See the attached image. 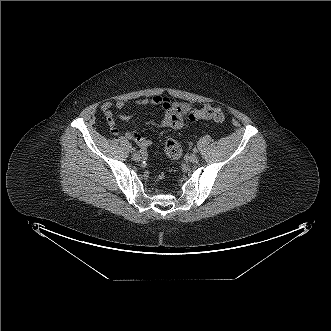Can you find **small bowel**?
Segmentation results:
<instances>
[{
	"label": "small bowel",
	"mask_w": 331,
	"mask_h": 331,
	"mask_svg": "<svg viewBox=\"0 0 331 331\" xmlns=\"http://www.w3.org/2000/svg\"><path fill=\"white\" fill-rule=\"evenodd\" d=\"M140 106H161L163 109V117L159 123L153 121H146V126L154 127L156 132H161L167 129L182 130L187 128L192 122L189 121L187 116L196 108L188 102H173L169 98L164 96H152L150 98H144L137 101ZM126 106L124 101L105 102L101 105V111L106 117L107 123L110 127L112 134L117 135L119 133L116 127V121L128 120L131 118V114L127 113H115L113 109L123 110ZM125 138L134 141L141 148L147 149L152 146V141L141 136L140 134L130 131L125 133Z\"/></svg>",
	"instance_id": "small-bowel-1"
}]
</instances>
